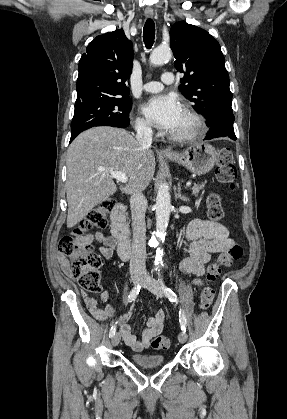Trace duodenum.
Wrapping results in <instances>:
<instances>
[{"label": "duodenum", "instance_id": "1", "mask_svg": "<svg viewBox=\"0 0 287 419\" xmlns=\"http://www.w3.org/2000/svg\"><path fill=\"white\" fill-rule=\"evenodd\" d=\"M125 205L116 203L111 212V232L118 243V254L121 259L130 255V235L125 218Z\"/></svg>", "mask_w": 287, "mask_h": 419}]
</instances>
